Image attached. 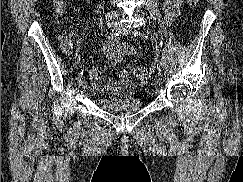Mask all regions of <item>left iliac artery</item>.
<instances>
[{
  "instance_id": "44dca946",
  "label": "left iliac artery",
  "mask_w": 243,
  "mask_h": 182,
  "mask_svg": "<svg viewBox=\"0 0 243 182\" xmlns=\"http://www.w3.org/2000/svg\"><path fill=\"white\" fill-rule=\"evenodd\" d=\"M134 36L148 39V36H146L144 33H142L141 31H138V30L134 31ZM157 69L159 72L161 71L160 64H158V63H157Z\"/></svg>"
}]
</instances>
